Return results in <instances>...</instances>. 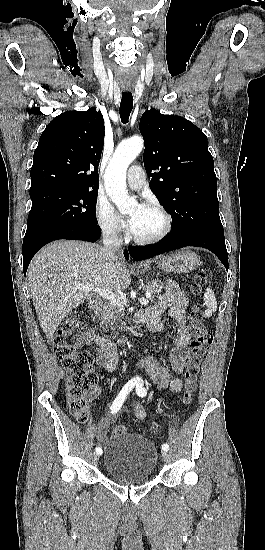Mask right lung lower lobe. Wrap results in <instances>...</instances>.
<instances>
[{
	"label": "right lung lower lobe",
	"mask_w": 265,
	"mask_h": 550,
	"mask_svg": "<svg viewBox=\"0 0 265 550\" xmlns=\"http://www.w3.org/2000/svg\"><path fill=\"white\" fill-rule=\"evenodd\" d=\"M101 230L99 226L66 225L57 227L26 240H23V271L26 275L27 268L36 252L47 243L58 239L83 240L95 242L100 238ZM124 256L128 260L129 254L124 250Z\"/></svg>",
	"instance_id": "1"
}]
</instances>
